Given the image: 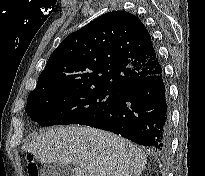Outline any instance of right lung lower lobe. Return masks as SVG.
<instances>
[{
	"instance_id": "obj_1",
	"label": "right lung lower lobe",
	"mask_w": 205,
	"mask_h": 176,
	"mask_svg": "<svg viewBox=\"0 0 205 176\" xmlns=\"http://www.w3.org/2000/svg\"><path fill=\"white\" fill-rule=\"evenodd\" d=\"M86 126L121 135L160 153L170 147V115L163 70L122 89Z\"/></svg>"
}]
</instances>
